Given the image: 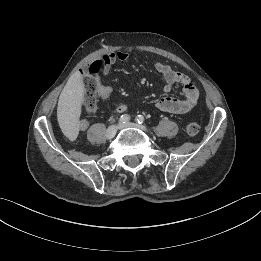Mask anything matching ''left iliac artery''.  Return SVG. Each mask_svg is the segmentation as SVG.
I'll list each match as a JSON object with an SVG mask.
<instances>
[{"mask_svg":"<svg viewBox=\"0 0 261 261\" xmlns=\"http://www.w3.org/2000/svg\"><path fill=\"white\" fill-rule=\"evenodd\" d=\"M136 122L142 124L144 122V117L142 115H138L136 117Z\"/></svg>","mask_w":261,"mask_h":261,"instance_id":"44dca946","label":"left iliac artery"}]
</instances>
